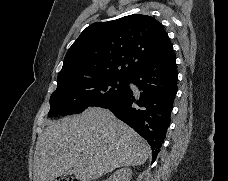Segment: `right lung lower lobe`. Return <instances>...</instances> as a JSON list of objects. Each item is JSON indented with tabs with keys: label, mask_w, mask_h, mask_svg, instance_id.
I'll return each mask as SVG.
<instances>
[{
	"label": "right lung lower lobe",
	"mask_w": 228,
	"mask_h": 181,
	"mask_svg": "<svg viewBox=\"0 0 228 181\" xmlns=\"http://www.w3.org/2000/svg\"><path fill=\"white\" fill-rule=\"evenodd\" d=\"M177 78L172 49L138 69L130 76L124 94L102 107L112 111L147 140L152 148L153 160L159 153L170 124Z\"/></svg>",
	"instance_id": "obj_1"
}]
</instances>
